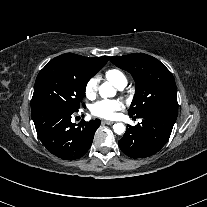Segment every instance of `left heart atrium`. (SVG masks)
<instances>
[{
  "mask_svg": "<svg viewBox=\"0 0 207 207\" xmlns=\"http://www.w3.org/2000/svg\"><path fill=\"white\" fill-rule=\"evenodd\" d=\"M123 108V105L120 101L117 100H102L95 103L92 108L91 112L93 115L104 118L110 119L112 118L116 112L120 111Z\"/></svg>",
  "mask_w": 207,
  "mask_h": 207,
  "instance_id": "obj_1",
  "label": "left heart atrium"
}]
</instances>
